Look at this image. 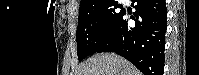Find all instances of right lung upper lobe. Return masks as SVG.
<instances>
[{"label":"right lung upper lobe","instance_id":"obj_1","mask_svg":"<svg viewBox=\"0 0 199 75\" xmlns=\"http://www.w3.org/2000/svg\"><path fill=\"white\" fill-rule=\"evenodd\" d=\"M109 1L111 0H81L79 14L92 10Z\"/></svg>","mask_w":199,"mask_h":75}]
</instances>
